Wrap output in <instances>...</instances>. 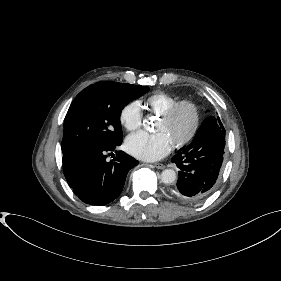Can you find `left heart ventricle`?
<instances>
[{"mask_svg": "<svg viewBox=\"0 0 281 281\" xmlns=\"http://www.w3.org/2000/svg\"><path fill=\"white\" fill-rule=\"evenodd\" d=\"M192 122L193 116L190 109L182 108L168 121L158 119L155 130L164 132L173 144L189 132Z\"/></svg>", "mask_w": 281, "mask_h": 281, "instance_id": "b2bd125f", "label": "left heart ventricle"}]
</instances>
